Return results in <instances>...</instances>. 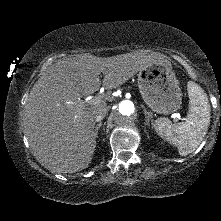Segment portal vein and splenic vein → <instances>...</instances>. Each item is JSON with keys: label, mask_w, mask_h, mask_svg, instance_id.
Returning <instances> with one entry per match:
<instances>
[{"label": "portal vein and splenic vein", "mask_w": 221, "mask_h": 221, "mask_svg": "<svg viewBox=\"0 0 221 221\" xmlns=\"http://www.w3.org/2000/svg\"><path fill=\"white\" fill-rule=\"evenodd\" d=\"M102 101H103L102 96L99 95V96H96L94 98H88L86 101H83V103H88V104H91V105H95V104L101 103ZM173 117L176 118V119L182 120V118L179 114H174Z\"/></svg>", "instance_id": "18ae733b"}]
</instances>
